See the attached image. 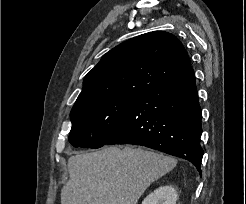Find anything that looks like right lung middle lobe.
<instances>
[{
  "mask_svg": "<svg viewBox=\"0 0 246 204\" xmlns=\"http://www.w3.org/2000/svg\"><path fill=\"white\" fill-rule=\"evenodd\" d=\"M139 95L127 94L74 104L69 142L74 147L99 148L107 144L124 123Z\"/></svg>",
  "mask_w": 246,
  "mask_h": 204,
  "instance_id": "right-lung-middle-lobe-1",
  "label": "right lung middle lobe"
}]
</instances>
